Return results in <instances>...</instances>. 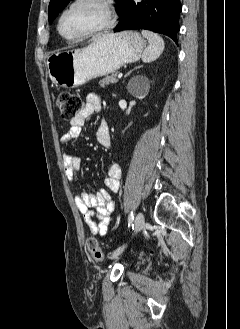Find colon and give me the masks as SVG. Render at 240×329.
Wrapping results in <instances>:
<instances>
[{"label":"colon","instance_id":"5ec220e1","mask_svg":"<svg viewBox=\"0 0 240 329\" xmlns=\"http://www.w3.org/2000/svg\"><path fill=\"white\" fill-rule=\"evenodd\" d=\"M56 103L60 112V116L65 121L73 120L84 107V101L82 97L71 92H60L57 96ZM87 248L90 255L96 261L103 260V252L99 247L97 240L94 238H89L87 240Z\"/></svg>","mask_w":240,"mask_h":329}]
</instances>
